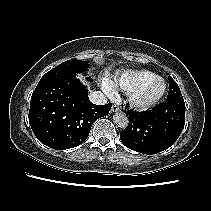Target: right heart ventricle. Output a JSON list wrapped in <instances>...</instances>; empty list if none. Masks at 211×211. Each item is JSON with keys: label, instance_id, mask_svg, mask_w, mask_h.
Returning a JSON list of instances; mask_svg holds the SVG:
<instances>
[{"label": "right heart ventricle", "instance_id": "e07e8e85", "mask_svg": "<svg viewBox=\"0 0 211 211\" xmlns=\"http://www.w3.org/2000/svg\"><path fill=\"white\" fill-rule=\"evenodd\" d=\"M156 77L158 76L149 70H125L114 75L113 81L116 87L126 94H130L145 82Z\"/></svg>", "mask_w": 211, "mask_h": 211}]
</instances>
